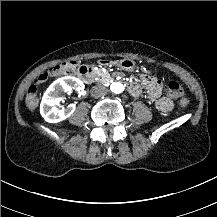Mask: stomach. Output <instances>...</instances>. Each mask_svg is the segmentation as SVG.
<instances>
[{
  "mask_svg": "<svg viewBox=\"0 0 217 217\" xmlns=\"http://www.w3.org/2000/svg\"><path fill=\"white\" fill-rule=\"evenodd\" d=\"M118 66L126 71H133L135 68V62L131 59H122L118 62Z\"/></svg>",
  "mask_w": 217,
  "mask_h": 217,
  "instance_id": "obj_1",
  "label": "stomach"
}]
</instances>
